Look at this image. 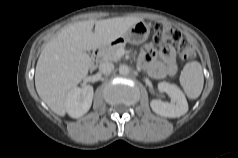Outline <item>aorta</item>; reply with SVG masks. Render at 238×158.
I'll list each match as a JSON object with an SVG mask.
<instances>
[{"label": "aorta", "mask_w": 238, "mask_h": 158, "mask_svg": "<svg viewBox=\"0 0 238 158\" xmlns=\"http://www.w3.org/2000/svg\"><path fill=\"white\" fill-rule=\"evenodd\" d=\"M119 73L123 76L128 75L129 74V67L127 65H121L119 67Z\"/></svg>", "instance_id": "762f6f07"}]
</instances>
